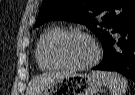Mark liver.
I'll list each match as a JSON object with an SVG mask.
<instances>
[{"label": "liver", "instance_id": "6515ba94", "mask_svg": "<svg viewBox=\"0 0 135 95\" xmlns=\"http://www.w3.org/2000/svg\"><path fill=\"white\" fill-rule=\"evenodd\" d=\"M68 75L67 72L64 73H46L42 76L35 79L32 83V86L30 88V95H39L44 91L47 87H49L51 84L55 83L56 81L60 80L61 78Z\"/></svg>", "mask_w": 135, "mask_h": 95}]
</instances>
